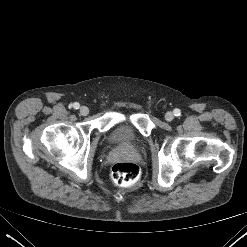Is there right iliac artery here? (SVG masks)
<instances>
[{
  "label": "right iliac artery",
  "instance_id": "1",
  "mask_svg": "<svg viewBox=\"0 0 247 247\" xmlns=\"http://www.w3.org/2000/svg\"><path fill=\"white\" fill-rule=\"evenodd\" d=\"M79 106H80V105H79V103H77V102H76V103H74V104L72 105V107H73L74 109H78V108H79Z\"/></svg>",
  "mask_w": 247,
  "mask_h": 247
}]
</instances>
